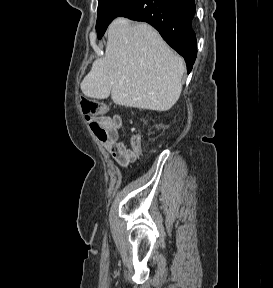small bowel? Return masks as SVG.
Returning a JSON list of instances; mask_svg holds the SVG:
<instances>
[{
	"mask_svg": "<svg viewBox=\"0 0 273 288\" xmlns=\"http://www.w3.org/2000/svg\"><path fill=\"white\" fill-rule=\"evenodd\" d=\"M99 122L107 134L106 138L99 140L111 156L123 167L136 162L141 153L140 143L133 141L131 148H128L118 141L119 131L122 128L121 117L118 115L112 118L102 117Z\"/></svg>",
	"mask_w": 273,
	"mask_h": 288,
	"instance_id": "1",
	"label": "small bowel"
}]
</instances>
